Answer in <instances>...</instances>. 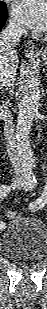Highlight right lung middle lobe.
<instances>
[{"label":"right lung middle lobe","mask_w":47,"mask_h":309,"mask_svg":"<svg viewBox=\"0 0 47 309\" xmlns=\"http://www.w3.org/2000/svg\"><path fill=\"white\" fill-rule=\"evenodd\" d=\"M5 7H6L5 3L4 2H0V10L5 8Z\"/></svg>","instance_id":"right-lung-middle-lobe-1"}]
</instances>
